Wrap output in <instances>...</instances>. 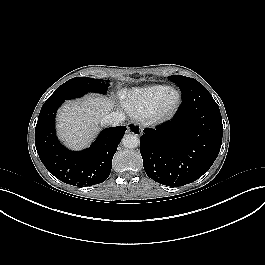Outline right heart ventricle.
I'll return each mask as SVG.
<instances>
[{
    "mask_svg": "<svg viewBox=\"0 0 265 265\" xmlns=\"http://www.w3.org/2000/svg\"><path fill=\"white\" fill-rule=\"evenodd\" d=\"M169 88L166 85H152L123 92V105L134 117L147 118L154 104Z\"/></svg>",
    "mask_w": 265,
    "mask_h": 265,
    "instance_id": "1",
    "label": "right heart ventricle"
}]
</instances>
